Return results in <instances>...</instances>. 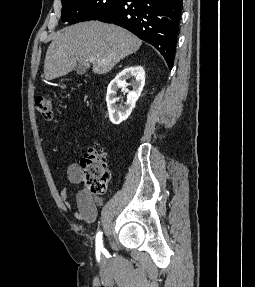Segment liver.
<instances>
[{"label":"liver","instance_id":"6515ba94","mask_svg":"<svg viewBox=\"0 0 255 287\" xmlns=\"http://www.w3.org/2000/svg\"><path fill=\"white\" fill-rule=\"evenodd\" d=\"M142 40L131 32L102 22H81L53 36L45 56L44 78L66 76L77 64L90 68L88 58H96L94 74H107L120 60L139 50Z\"/></svg>","mask_w":255,"mask_h":287}]
</instances>
